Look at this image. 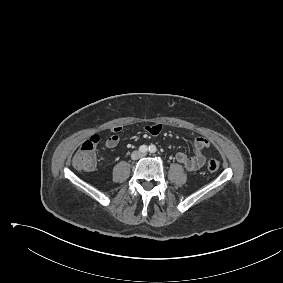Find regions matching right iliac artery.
<instances>
[{
  "label": "right iliac artery",
  "instance_id": "1",
  "mask_svg": "<svg viewBox=\"0 0 283 283\" xmlns=\"http://www.w3.org/2000/svg\"><path fill=\"white\" fill-rule=\"evenodd\" d=\"M139 151L141 153H146L148 151V147L146 145H142L140 146Z\"/></svg>",
  "mask_w": 283,
  "mask_h": 283
}]
</instances>
